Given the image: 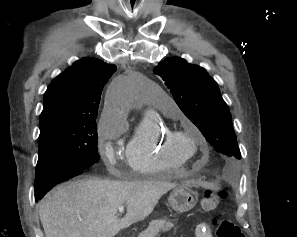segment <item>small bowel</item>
I'll return each instance as SVG.
<instances>
[{
  "instance_id": "c3829d8e",
  "label": "small bowel",
  "mask_w": 297,
  "mask_h": 237,
  "mask_svg": "<svg viewBox=\"0 0 297 237\" xmlns=\"http://www.w3.org/2000/svg\"><path fill=\"white\" fill-rule=\"evenodd\" d=\"M194 232L196 237H213L209 226L205 222H198Z\"/></svg>"
}]
</instances>
